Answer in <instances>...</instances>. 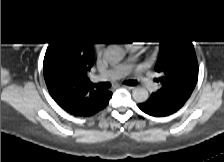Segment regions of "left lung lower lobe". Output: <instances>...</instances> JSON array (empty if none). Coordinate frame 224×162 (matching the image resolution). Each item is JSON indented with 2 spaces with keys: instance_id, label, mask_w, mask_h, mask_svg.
<instances>
[{
  "instance_id": "left-lung-lower-lobe-1",
  "label": "left lung lower lobe",
  "mask_w": 224,
  "mask_h": 162,
  "mask_svg": "<svg viewBox=\"0 0 224 162\" xmlns=\"http://www.w3.org/2000/svg\"><path fill=\"white\" fill-rule=\"evenodd\" d=\"M184 103L177 100L159 99L155 94H152L146 102L138 104V106L143 112L151 116L162 117L176 112Z\"/></svg>"
}]
</instances>
